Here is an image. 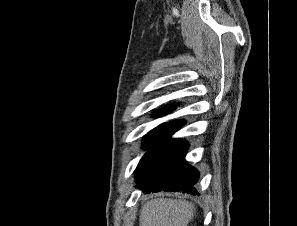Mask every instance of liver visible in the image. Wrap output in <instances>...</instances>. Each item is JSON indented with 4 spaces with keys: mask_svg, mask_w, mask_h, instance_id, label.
Returning <instances> with one entry per match:
<instances>
[{
    "mask_svg": "<svg viewBox=\"0 0 297 226\" xmlns=\"http://www.w3.org/2000/svg\"><path fill=\"white\" fill-rule=\"evenodd\" d=\"M194 215L195 205L186 200L152 199L141 207L139 226H188Z\"/></svg>",
    "mask_w": 297,
    "mask_h": 226,
    "instance_id": "6515ba94",
    "label": "liver"
}]
</instances>
